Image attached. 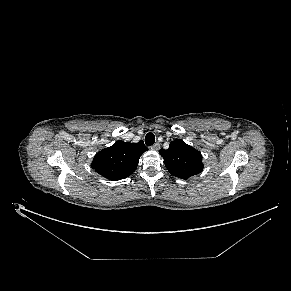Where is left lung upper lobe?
Segmentation results:
<instances>
[{
  "mask_svg": "<svg viewBox=\"0 0 291 291\" xmlns=\"http://www.w3.org/2000/svg\"><path fill=\"white\" fill-rule=\"evenodd\" d=\"M160 155L168 171L178 178L186 180L203 170L201 153L181 139L172 141L167 150L160 149Z\"/></svg>",
  "mask_w": 291,
  "mask_h": 291,
  "instance_id": "5c2ea615",
  "label": "left lung upper lobe"
}]
</instances>
